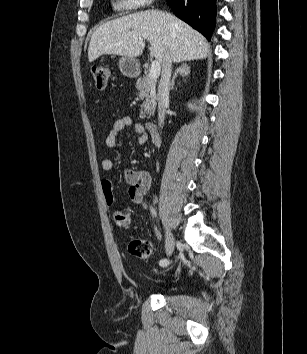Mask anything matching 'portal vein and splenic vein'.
Segmentation results:
<instances>
[{
  "mask_svg": "<svg viewBox=\"0 0 307 354\" xmlns=\"http://www.w3.org/2000/svg\"><path fill=\"white\" fill-rule=\"evenodd\" d=\"M160 69H161L160 63L157 60L153 61L149 73L150 78L153 80L157 79L158 76L160 75Z\"/></svg>",
  "mask_w": 307,
  "mask_h": 354,
  "instance_id": "portal-vein-and-splenic-vein-1",
  "label": "portal vein and splenic vein"
}]
</instances>
